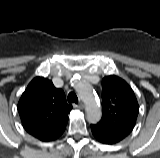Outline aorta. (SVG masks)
I'll return each mask as SVG.
<instances>
[{"label":"aorta","instance_id":"762f6f07","mask_svg":"<svg viewBox=\"0 0 160 158\" xmlns=\"http://www.w3.org/2000/svg\"><path fill=\"white\" fill-rule=\"evenodd\" d=\"M75 88L86 105V117L89 123H97L102 117V111L98 105L97 98L88 83L74 81Z\"/></svg>","mask_w":160,"mask_h":158}]
</instances>
